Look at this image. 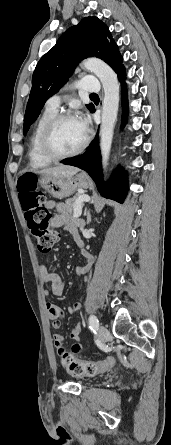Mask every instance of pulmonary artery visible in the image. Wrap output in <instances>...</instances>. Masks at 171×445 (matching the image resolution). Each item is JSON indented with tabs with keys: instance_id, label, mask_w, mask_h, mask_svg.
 <instances>
[{
	"instance_id": "obj_1",
	"label": "pulmonary artery",
	"mask_w": 171,
	"mask_h": 445,
	"mask_svg": "<svg viewBox=\"0 0 171 445\" xmlns=\"http://www.w3.org/2000/svg\"><path fill=\"white\" fill-rule=\"evenodd\" d=\"M78 87L85 92H97L100 90V84L96 77H83L78 83ZM61 103L59 95H53L47 100V107L57 109Z\"/></svg>"
}]
</instances>
